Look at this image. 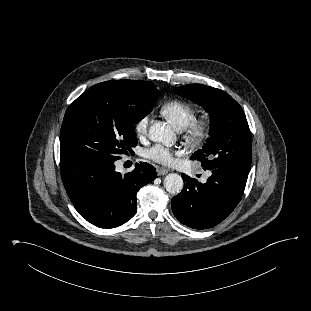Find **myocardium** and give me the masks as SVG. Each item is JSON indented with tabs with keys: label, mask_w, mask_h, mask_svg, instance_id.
<instances>
[{
	"label": "myocardium",
	"mask_w": 311,
	"mask_h": 311,
	"mask_svg": "<svg viewBox=\"0 0 311 311\" xmlns=\"http://www.w3.org/2000/svg\"><path fill=\"white\" fill-rule=\"evenodd\" d=\"M213 121L209 115L194 118L184 129L185 140L193 145L203 144L210 136Z\"/></svg>",
	"instance_id": "obj_1"
}]
</instances>
